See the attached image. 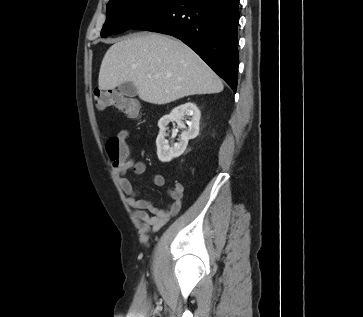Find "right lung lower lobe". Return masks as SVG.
Here are the masks:
<instances>
[{
    "instance_id": "98d812e1",
    "label": "right lung lower lobe",
    "mask_w": 363,
    "mask_h": 317,
    "mask_svg": "<svg viewBox=\"0 0 363 317\" xmlns=\"http://www.w3.org/2000/svg\"><path fill=\"white\" fill-rule=\"evenodd\" d=\"M239 0H177L133 29L169 34L193 49L236 92Z\"/></svg>"
}]
</instances>
